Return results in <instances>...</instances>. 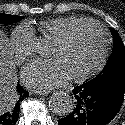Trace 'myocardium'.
I'll return each instance as SVG.
<instances>
[{
    "instance_id": "obj_1",
    "label": "myocardium",
    "mask_w": 125,
    "mask_h": 125,
    "mask_svg": "<svg viewBox=\"0 0 125 125\" xmlns=\"http://www.w3.org/2000/svg\"><path fill=\"white\" fill-rule=\"evenodd\" d=\"M88 25L95 26L103 34V36H104L103 50H102V54L100 56L99 61L91 70H89L83 74H80V75L72 76L73 80H75L76 82H84V81L94 77L95 75H97L104 68V66L107 62V59L109 57L110 45H111V37H110V33H109L108 29L96 20L86 19L84 21H81L77 24L70 26L67 30H65L60 36H58L54 40L55 43L64 44L72 37V35L78 29H80L84 26H88Z\"/></svg>"
}]
</instances>
